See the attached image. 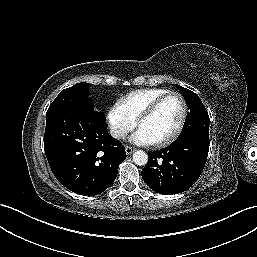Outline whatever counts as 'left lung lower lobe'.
Listing matches in <instances>:
<instances>
[{
  "label": "left lung lower lobe",
  "mask_w": 257,
  "mask_h": 257,
  "mask_svg": "<svg viewBox=\"0 0 257 257\" xmlns=\"http://www.w3.org/2000/svg\"><path fill=\"white\" fill-rule=\"evenodd\" d=\"M209 144V135L192 134L162 150L149 152V161L141 172L144 182L160 194L188 190L204 169Z\"/></svg>",
  "instance_id": "1"
}]
</instances>
